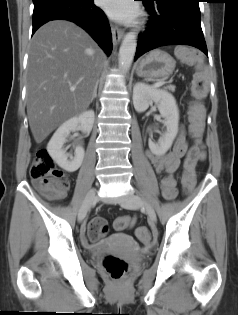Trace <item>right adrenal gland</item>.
Listing matches in <instances>:
<instances>
[{
	"instance_id": "1",
	"label": "right adrenal gland",
	"mask_w": 238,
	"mask_h": 315,
	"mask_svg": "<svg viewBox=\"0 0 238 315\" xmlns=\"http://www.w3.org/2000/svg\"><path fill=\"white\" fill-rule=\"evenodd\" d=\"M98 83H99V80H97L96 82V85H95V89H94V93H93V96L90 100V103H92V101L97 97V87H98Z\"/></svg>"
}]
</instances>
